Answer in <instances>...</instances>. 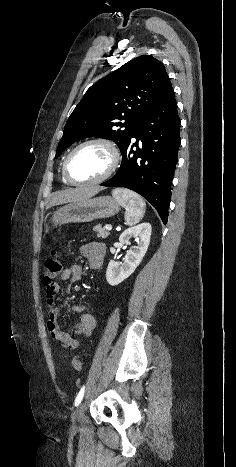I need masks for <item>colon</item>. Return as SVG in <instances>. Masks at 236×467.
Instances as JSON below:
<instances>
[{
  "label": "colon",
  "mask_w": 236,
  "mask_h": 467,
  "mask_svg": "<svg viewBox=\"0 0 236 467\" xmlns=\"http://www.w3.org/2000/svg\"><path fill=\"white\" fill-rule=\"evenodd\" d=\"M62 269L60 253L58 251H52L51 255L45 261L44 267V283L50 286L54 283V280L58 277ZM72 367L75 371L79 372L82 369L81 357L76 356L72 360Z\"/></svg>",
  "instance_id": "5ec220e1"
}]
</instances>
